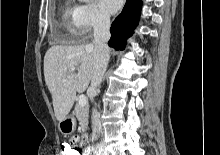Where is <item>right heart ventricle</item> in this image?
Segmentation results:
<instances>
[{
	"instance_id": "obj_1",
	"label": "right heart ventricle",
	"mask_w": 220,
	"mask_h": 155,
	"mask_svg": "<svg viewBox=\"0 0 220 155\" xmlns=\"http://www.w3.org/2000/svg\"><path fill=\"white\" fill-rule=\"evenodd\" d=\"M78 16L79 6L73 0H65L61 11V18L66 32L74 38L80 35Z\"/></svg>"
}]
</instances>
